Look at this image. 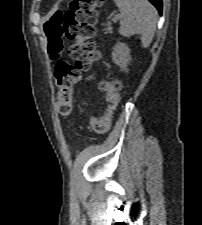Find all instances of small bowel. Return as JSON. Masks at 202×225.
<instances>
[{
	"mask_svg": "<svg viewBox=\"0 0 202 225\" xmlns=\"http://www.w3.org/2000/svg\"><path fill=\"white\" fill-rule=\"evenodd\" d=\"M86 79H87V80H90V79H92V76H87Z\"/></svg>",
	"mask_w": 202,
	"mask_h": 225,
	"instance_id": "small-bowel-1",
	"label": "small bowel"
}]
</instances>
